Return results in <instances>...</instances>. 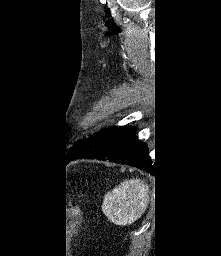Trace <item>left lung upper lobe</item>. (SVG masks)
<instances>
[{
    "mask_svg": "<svg viewBox=\"0 0 221 256\" xmlns=\"http://www.w3.org/2000/svg\"><path fill=\"white\" fill-rule=\"evenodd\" d=\"M84 142V140H79L78 142H76V144H74L69 150H68V154H67V158L69 159L70 156H72L77 149L82 145V143Z\"/></svg>",
    "mask_w": 221,
    "mask_h": 256,
    "instance_id": "5c2ea615",
    "label": "left lung upper lobe"
}]
</instances>
